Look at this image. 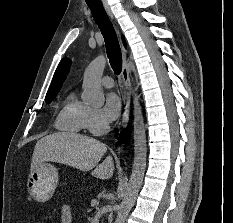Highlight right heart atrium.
I'll return each mask as SVG.
<instances>
[{
  "label": "right heart atrium",
  "mask_w": 233,
  "mask_h": 223,
  "mask_svg": "<svg viewBox=\"0 0 233 223\" xmlns=\"http://www.w3.org/2000/svg\"><path fill=\"white\" fill-rule=\"evenodd\" d=\"M84 128L92 134L101 135L109 130L110 125L99 109L88 107L85 116Z\"/></svg>",
  "instance_id": "right-heart-atrium-1"
}]
</instances>
